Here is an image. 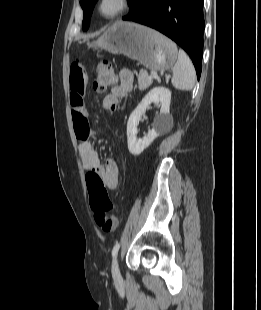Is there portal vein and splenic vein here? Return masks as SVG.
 <instances>
[{"label":"portal vein and splenic vein","instance_id":"1","mask_svg":"<svg viewBox=\"0 0 261 310\" xmlns=\"http://www.w3.org/2000/svg\"><path fill=\"white\" fill-rule=\"evenodd\" d=\"M150 78H158V75L156 73H151Z\"/></svg>","mask_w":261,"mask_h":310}]
</instances>
